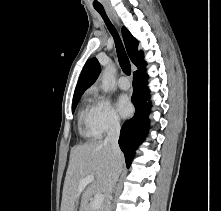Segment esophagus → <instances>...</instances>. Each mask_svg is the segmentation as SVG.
<instances>
[{
  "mask_svg": "<svg viewBox=\"0 0 221 211\" xmlns=\"http://www.w3.org/2000/svg\"><path fill=\"white\" fill-rule=\"evenodd\" d=\"M113 19L118 23V20H117V18L116 17H114V15H113Z\"/></svg>",
  "mask_w": 221,
  "mask_h": 211,
  "instance_id": "esophagus-1",
  "label": "esophagus"
}]
</instances>
